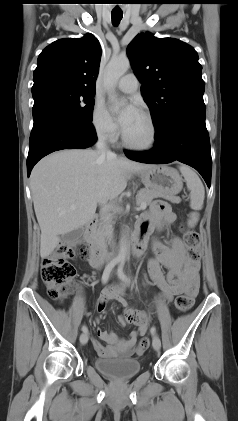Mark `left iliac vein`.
<instances>
[{"label":"left iliac vein","instance_id":"left-iliac-vein-1","mask_svg":"<svg viewBox=\"0 0 238 421\" xmlns=\"http://www.w3.org/2000/svg\"><path fill=\"white\" fill-rule=\"evenodd\" d=\"M152 346H153V348H154L156 351H158V350L160 349V347H161V341H160V339H159V337H158V336H154V337H153V340H152Z\"/></svg>","mask_w":238,"mask_h":421}]
</instances>
